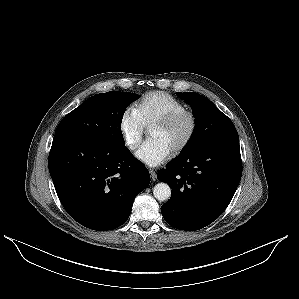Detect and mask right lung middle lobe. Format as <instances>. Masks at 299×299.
<instances>
[{
	"mask_svg": "<svg viewBox=\"0 0 299 299\" xmlns=\"http://www.w3.org/2000/svg\"><path fill=\"white\" fill-rule=\"evenodd\" d=\"M137 98L136 94L118 91L94 95L62 119L55 136H70L111 147L124 146L123 114Z\"/></svg>",
	"mask_w": 299,
	"mask_h": 299,
	"instance_id": "dd1d6c3e",
	"label": "right lung middle lobe"
}]
</instances>
